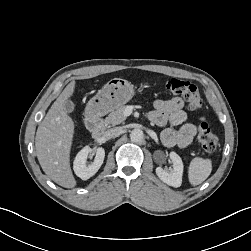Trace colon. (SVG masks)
<instances>
[{
	"label": "colon",
	"mask_w": 251,
	"mask_h": 251,
	"mask_svg": "<svg viewBox=\"0 0 251 251\" xmlns=\"http://www.w3.org/2000/svg\"><path fill=\"white\" fill-rule=\"evenodd\" d=\"M165 88L174 95L182 96L187 101L190 110L199 111L202 108L201 96L198 88L193 83L171 78L166 81ZM198 142L207 153L214 152L218 145L217 137L210 131L203 117L199 119Z\"/></svg>",
	"instance_id": "5ec220e1"
}]
</instances>
